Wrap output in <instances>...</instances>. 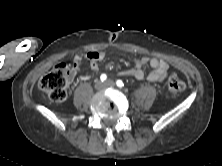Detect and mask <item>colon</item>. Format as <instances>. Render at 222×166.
Masks as SVG:
<instances>
[{"mask_svg": "<svg viewBox=\"0 0 222 166\" xmlns=\"http://www.w3.org/2000/svg\"><path fill=\"white\" fill-rule=\"evenodd\" d=\"M72 73L73 70L68 64H58L40 78L38 86L52 101L62 102L67 96ZM167 88L171 94H178L185 89V83L176 73H171L167 80Z\"/></svg>", "mask_w": 222, "mask_h": 166, "instance_id": "colon-1", "label": "colon"}]
</instances>
